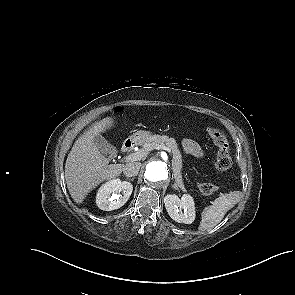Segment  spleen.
<instances>
[{
	"label": "spleen",
	"mask_w": 295,
	"mask_h": 295,
	"mask_svg": "<svg viewBox=\"0 0 295 295\" xmlns=\"http://www.w3.org/2000/svg\"><path fill=\"white\" fill-rule=\"evenodd\" d=\"M240 198L241 192L239 191L219 196L212 205L203 210L199 230L206 231L220 223L226 212L233 208L240 201Z\"/></svg>",
	"instance_id": "spleen-1"
}]
</instances>
